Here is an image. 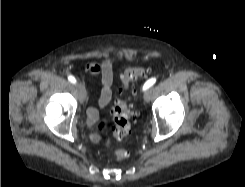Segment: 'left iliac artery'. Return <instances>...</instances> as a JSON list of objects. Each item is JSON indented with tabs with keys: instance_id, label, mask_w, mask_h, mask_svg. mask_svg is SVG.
<instances>
[{
	"instance_id": "obj_1",
	"label": "left iliac artery",
	"mask_w": 245,
	"mask_h": 187,
	"mask_svg": "<svg viewBox=\"0 0 245 187\" xmlns=\"http://www.w3.org/2000/svg\"><path fill=\"white\" fill-rule=\"evenodd\" d=\"M155 82H156V78H150L149 80L145 82L143 86V90L150 88L152 85H154Z\"/></svg>"
}]
</instances>
